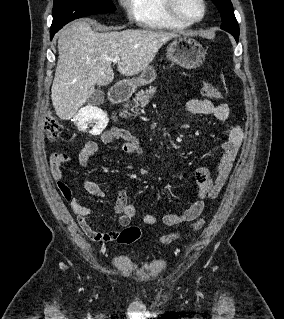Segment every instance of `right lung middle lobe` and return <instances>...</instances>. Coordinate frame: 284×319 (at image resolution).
Returning <instances> with one entry per match:
<instances>
[{"mask_svg":"<svg viewBox=\"0 0 284 319\" xmlns=\"http://www.w3.org/2000/svg\"><path fill=\"white\" fill-rule=\"evenodd\" d=\"M116 10L111 0H54L50 31H58L68 22L87 15Z\"/></svg>","mask_w":284,"mask_h":319,"instance_id":"obj_1","label":"right lung middle lobe"}]
</instances>
